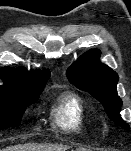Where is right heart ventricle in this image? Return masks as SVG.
<instances>
[{
	"mask_svg": "<svg viewBox=\"0 0 131 151\" xmlns=\"http://www.w3.org/2000/svg\"><path fill=\"white\" fill-rule=\"evenodd\" d=\"M55 125L66 132H82L92 125V118L80 97L68 94L61 98L53 113Z\"/></svg>",
	"mask_w": 131,
	"mask_h": 151,
	"instance_id": "1",
	"label": "right heart ventricle"
}]
</instances>
